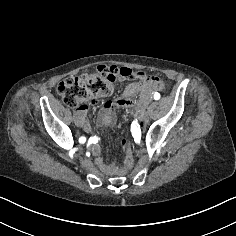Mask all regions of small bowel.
<instances>
[{
  "label": "small bowel",
  "instance_id": "c3829d8e",
  "mask_svg": "<svg viewBox=\"0 0 236 236\" xmlns=\"http://www.w3.org/2000/svg\"><path fill=\"white\" fill-rule=\"evenodd\" d=\"M137 81L128 84L122 91L120 97L115 101H106L101 109L98 125L101 127L112 126L115 122V109L120 107H134L138 116H141L145 107L148 105L154 91L162 88L161 81L156 77L147 76L143 72L136 71ZM126 77L120 76V80ZM136 97V98H135ZM95 103V100H92ZM88 106L81 104L74 113L76 124L87 132H91L92 128L87 118ZM90 150L95 156L101 152L99 138L96 136L90 137ZM98 167L107 175L116 176L124 171V167L114 163H107L103 158L97 157L95 160Z\"/></svg>",
  "mask_w": 236,
  "mask_h": 236
}]
</instances>
